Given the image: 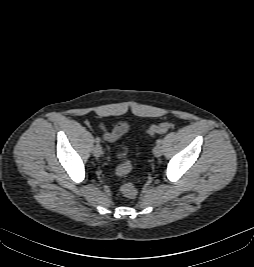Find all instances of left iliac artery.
I'll list each match as a JSON object with an SVG mask.
<instances>
[{"label": "left iliac artery", "instance_id": "44dca946", "mask_svg": "<svg viewBox=\"0 0 254 267\" xmlns=\"http://www.w3.org/2000/svg\"><path fill=\"white\" fill-rule=\"evenodd\" d=\"M162 139H158L157 141H156V143H157V145H160V144H162Z\"/></svg>", "mask_w": 254, "mask_h": 267}]
</instances>
